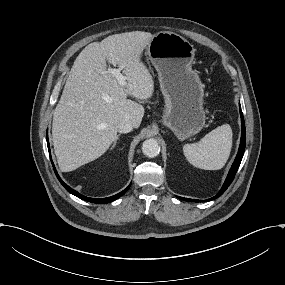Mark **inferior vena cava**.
<instances>
[{
    "instance_id": "obj_1",
    "label": "inferior vena cava",
    "mask_w": 285,
    "mask_h": 285,
    "mask_svg": "<svg viewBox=\"0 0 285 285\" xmlns=\"http://www.w3.org/2000/svg\"><path fill=\"white\" fill-rule=\"evenodd\" d=\"M133 126L129 121L123 120L117 124V131L120 133H128L132 131Z\"/></svg>"
}]
</instances>
